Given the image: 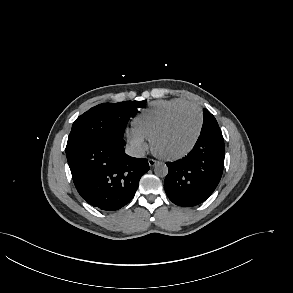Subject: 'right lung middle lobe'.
<instances>
[{"instance_id": "obj_1", "label": "right lung middle lobe", "mask_w": 293, "mask_h": 293, "mask_svg": "<svg viewBox=\"0 0 293 293\" xmlns=\"http://www.w3.org/2000/svg\"><path fill=\"white\" fill-rule=\"evenodd\" d=\"M145 101H124L99 104L81 116L72 125L66 153L99 137L116 135L123 137L130 117Z\"/></svg>"}]
</instances>
